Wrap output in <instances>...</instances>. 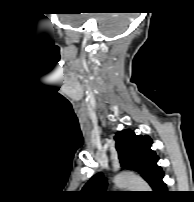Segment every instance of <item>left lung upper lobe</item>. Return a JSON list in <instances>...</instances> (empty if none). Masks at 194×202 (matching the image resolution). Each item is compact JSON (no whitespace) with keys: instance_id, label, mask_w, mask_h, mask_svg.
<instances>
[{"instance_id":"obj_1","label":"left lung upper lobe","mask_w":194,"mask_h":202,"mask_svg":"<svg viewBox=\"0 0 194 202\" xmlns=\"http://www.w3.org/2000/svg\"><path fill=\"white\" fill-rule=\"evenodd\" d=\"M114 139L121 166L137 171L151 186L162 171L157 165L158 156L151 150V138L135 135L131 130H123L118 132ZM106 186V178L102 173H98L88 181L81 192L90 197H99L107 193Z\"/></svg>"}]
</instances>
